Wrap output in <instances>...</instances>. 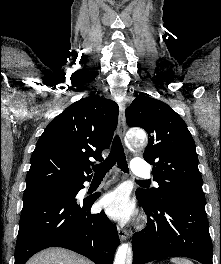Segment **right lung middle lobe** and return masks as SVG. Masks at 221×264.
I'll list each match as a JSON object with an SVG mask.
<instances>
[{"label": "right lung middle lobe", "instance_id": "1", "mask_svg": "<svg viewBox=\"0 0 221 264\" xmlns=\"http://www.w3.org/2000/svg\"><path fill=\"white\" fill-rule=\"evenodd\" d=\"M82 185L83 183H75V182L49 183L35 188L26 189L24 191L23 198L31 197V196H43V195L73 196L78 193Z\"/></svg>", "mask_w": 221, "mask_h": 264}]
</instances>
